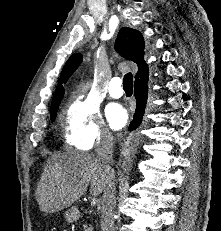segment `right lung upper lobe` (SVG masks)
<instances>
[{
	"mask_svg": "<svg viewBox=\"0 0 221 231\" xmlns=\"http://www.w3.org/2000/svg\"><path fill=\"white\" fill-rule=\"evenodd\" d=\"M144 46V39L139 31L128 27H124L119 31L115 49L122 57L137 64L138 72L135 77V84L148 80L149 68L144 60ZM81 62L82 55L73 54L64 65L59 84L54 93L51 108L61 102L64 95L62 84L68 80Z\"/></svg>",
	"mask_w": 221,
	"mask_h": 231,
	"instance_id": "1",
	"label": "right lung upper lobe"
}]
</instances>
